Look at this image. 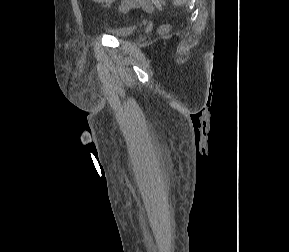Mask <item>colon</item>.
Returning <instances> with one entry per match:
<instances>
[{"mask_svg": "<svg viewBox=\"0 0 289 252\" xmlns=\"http://www.w3.org/2000/svg\"><path fill=\"white\" fill-rule=\"evenodd\" d=\"M136 7H141L146 11H151L152 4L150 0H122L119 9L121 12L125 13Z\"/></svg>", "mask_w": 289, "mask_h": 252, "instance_id": "obj_1", "label": "colon"}]
</instances>
